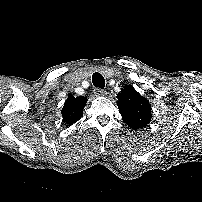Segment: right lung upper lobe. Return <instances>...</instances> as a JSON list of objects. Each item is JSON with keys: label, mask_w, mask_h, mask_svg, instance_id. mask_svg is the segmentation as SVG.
I'll return each mask as SVG.
<instances>
[{"label": "right lung upper lobe", "mask_w": 202, "mask_h": 202, "mask_svg": "<svg viewBox=\"0 0 202 202\" xmlns=\"http://www.w3.org/2000/svg\"><path fill=\"white\" fill-rule=\"evenodd\" d=\"M86 101V97L69 96L62 109L63 121L68 125L76 123L83 115L82 111L86 105Z\"/></svg>", "instance_id": "obj_1"}]
</instances>
